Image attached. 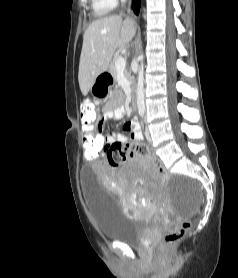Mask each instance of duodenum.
I'll return each instance as SVG.
<instances>
[{
	"label": "duodenum",
	"mask_w": 238,
	"mask_h": 278,
	"mask_svg": "<svg viewBox=\"0 0 238 278\" xmlns=\"http://www.w3.org/2000/svg\"><path fill=\"white\" fill-rule=\"evenodd\" d=\"M131 104L134 109L137 107L136 95L133 93L131 97Z\"/></svg>",
	"instance_id": "duodenum-1"
}]
</instances>
